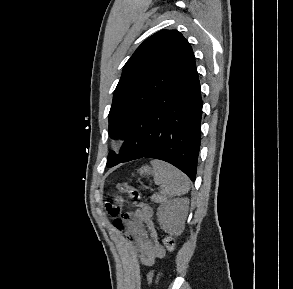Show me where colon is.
<instances>
[{"mask_svg":"<svg viewBox=\"0 0 293 289\" xmlns=\"http://www.w3.org/2000/svg\"><path fill=\"white\" fill-rule=\"evenodd\" d=\"M117 189L120 192L127 194L131 198H134V199H137V200L141 198L140 191L138 189L126 184V183L117 184ZM105 207H106L107 213L110 216L114 217L115 219L123 216V215H121L120 207H119L118 204L108 202ZM164 244H165V247H166L168 252H170V253L174 252V250H175V240L171 235H165Z\"/></svg>","mask_w":293,"mask_h":289,"instance_id":"colon-1","label":"colon"}]
</instances>
